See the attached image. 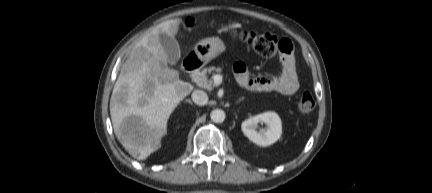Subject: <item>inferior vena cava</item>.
<instances>
[{
  "mask_svg": "<svg viewBox=\"0 0 432 193\" xmlns=\"http://www.w3.org/2000/svg\"><path fill=\"white\" fill-rule=\"evenodd\" d=\"M192 101L200 106L206 105L208 102V95L202 90H195L191 95Z\"/></svg>",
  "mask_w": 432,
  "mask_h": 193,
  "instance_id": "602c4592",
  "label": "inferior vena cava"
}]
</instances>
